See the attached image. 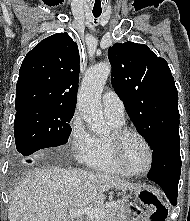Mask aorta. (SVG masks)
Here are the masks:
<instances>
[{"mask_svg":"<svg viewBox=\"0 0 190 221\" xmlns=\"http://www.w3.org/2000/svg\"><path fill=\"white\" fill-rule=\"evenodd\" d=\"M111 72L109 63L104 62L91 67L82 82L78 94V110L88 128L103 134L107 125L101 108V94Z\"/></svg>","mask_w":190,"mask_h":221,"instance_id":"aorta-1","label":"aorta"}]
</instances>
